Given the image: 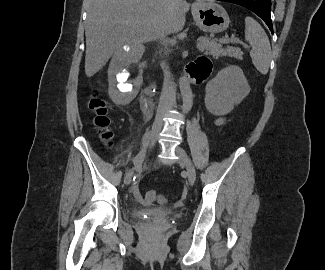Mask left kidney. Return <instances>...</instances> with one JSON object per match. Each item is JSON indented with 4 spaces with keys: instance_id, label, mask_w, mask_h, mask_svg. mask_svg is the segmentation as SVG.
<instances>
[{
    "instance_id": "5707ae66",
    "label": "left kidney",
    "mask_w": 325,
    "mask_h": 270,
    "mask_svg": "<svg viewBox=\"0 0 325 270\" xmlns=\"http://www.w3.org/2000/svg\"><path fill=\"white\" fill-rule=\"evenodd\" d=\"M250 86L238 66H228L206 85L205 105L213 115H226L249 94Z\"/></svg>"
}]
</instances>
